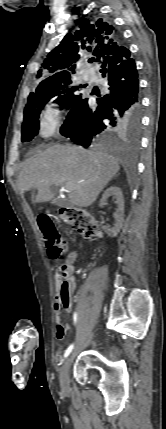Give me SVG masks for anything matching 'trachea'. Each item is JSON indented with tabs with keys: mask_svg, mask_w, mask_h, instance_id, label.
I'll return each mask as SVG.
<instances>
[{
	"mask_svg": "<svg viewBox=\"0 0 166 429\" xmlns=\"http://www.w3.org/2000/svg\"><path fill=\"white\" fill-rule=\"evenodd\" d=\"M95 61V59L94 58H91L90 60H89V62L90 63H92V62H94Z\"/></svg>",
	"mask_w": 166,
	"mask_h": 429,
	"instance_id": "obj_1",
	"label": "trachea"
}]
</instances>
